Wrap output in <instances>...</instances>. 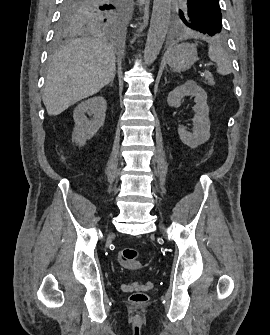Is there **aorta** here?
Returning a JSON list of instances; mask_svg holds the SVG:
<instances>
[{
    "instance_id": "762f6f07",
    "label": "aorta",
    "mask_w": 270,
    "mask_h": 335,
    "mask_svg": "<svg viewBox=\"0 0 270 335\" xmlns=\"http://www.w3.org/2000/svg\"><path fill=\"white\" fill-rule=\"evenodd\" d=\"M171 0H154L150 28L144 50L145 64L156 60L168 32Z\"/></svg>"
}]
</instances>
